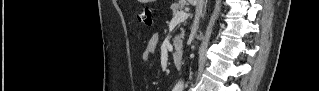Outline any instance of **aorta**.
Segmentation results:
<instances>
[{"label": "aorta", "instance_id": "aorta-1", "mask_svg": "<svg viewBox=\"0 0 319 91\" xmlns=\"http://www.w3.org/2000/svg\"><path fill=\"white\" fill-rule=\"evenodd\" d=\"M183 87V84L182 82H178L177 85H176V89H181Z\"/></svg>", "mask_w": 319, "mask_h": 91}]
</instances>
